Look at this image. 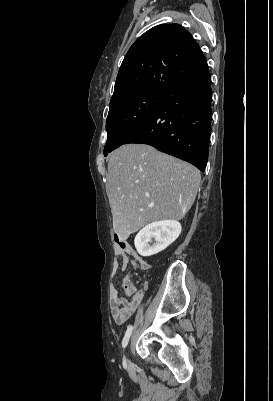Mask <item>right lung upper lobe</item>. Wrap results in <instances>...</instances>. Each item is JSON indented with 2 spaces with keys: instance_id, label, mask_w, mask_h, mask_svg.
<instances>
[{
  "instance_id": "1",
  "label": "right lung upper lobe",
  "mask_w": 273,
  "mask_h": 401,
  "mask_svg": "<svg viewBox=\"0 0 273 401\" xmlns=\"http://www.w3.org/2000/svg\"><path fill=\"white\" fill-rule=\"evenodd\" d=\"M207 67L192 35L179 24H161L139 37L127 52L110 102L142 91L166 93Z\"/></svg>"
}]
</instances>
